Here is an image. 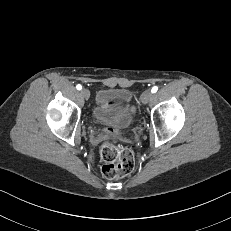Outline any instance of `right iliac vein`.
Segmentation results:
<instances>
[{"label":"right iliac vein","instance_id":"1","mask_svg":"<svg viewBox=\"0 0 231 231\" xmlns=\"http://www.w3.org/2000/svg\"><path fill=\"white\" fill-rule=\"evenodd\" d=\"M81 95L85 98V99H88L89 97H90V92H89V90L88 89H82L81 90Z\"/></svg>","mask_w":231,"mask_h":231}]
</instances>
